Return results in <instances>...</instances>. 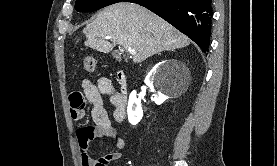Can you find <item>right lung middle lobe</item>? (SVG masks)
<instances>
[{
	"label": "right lung middle lobe",
	"instance_id": "1",
	"mask_svg": "<svg viewBox=\"0 0 277 166\" xmlns=\"http://www.w3.org/2000/svg\"><path fill=\"white\" fill-rule=\"evenodd\" d=\"M121 1L122 0H76L75 9L79 12H89Z\"/></svg>",
	"mask_w": 277,
	"mask_h": 166
}]
</instances>
